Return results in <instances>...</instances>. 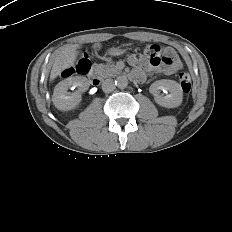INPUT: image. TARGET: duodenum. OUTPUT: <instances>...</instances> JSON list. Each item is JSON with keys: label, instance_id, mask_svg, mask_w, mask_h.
<instances>
[{"label": "duodenum", "instance_id": "obj_1", "mask_svg": "<svg viewBox=\"0 0 232 232\" xmlns=\"http://www.w3.org/2000/svg\"><path fill=\"white\" fill-rule=\"evenodd\" d=\"M88 78L94 84H99L101 82V76L95 68H92L88 73Z\"/></svg>", "mask_w": 232, "mask_h": 232}]
</instances>
